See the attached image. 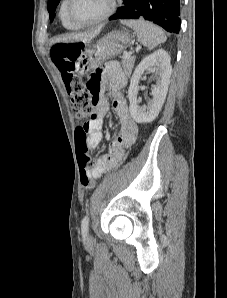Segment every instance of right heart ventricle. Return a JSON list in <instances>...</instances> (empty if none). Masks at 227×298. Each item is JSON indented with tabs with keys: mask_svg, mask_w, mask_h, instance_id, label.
<instances>
[{
	"mask_svg": "<svg viewBox=\"0 0 227 298\" xmlns=\"http://www.w3.org/2000/svg\"><path fill=\"white\" fill-rule=\"evenodd\" d=\"M59 16L62 22V25L69 30H73L76 29L77 26L73 25L66 16V0H63L61 5H60V9H59Z\"/></svg>",
	"mask_w": 227,
	"mask_h": 298,
	"instance_id": "1",
	"label": "right heart ventricle"
}]
</instances>
